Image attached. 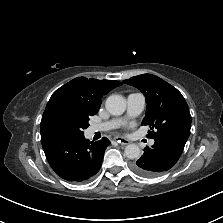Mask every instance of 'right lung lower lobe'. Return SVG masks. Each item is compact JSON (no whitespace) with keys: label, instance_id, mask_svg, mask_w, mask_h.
Segmentation results:
<instances>
[{"label":"right lung lower lobe","instance_id":"1","mask_svg":"<svg viewBox=\"0 0 223 223\" xmlns=\"http://www.w3.org/2000/svg\"><path fill=\"white\" fill-rule=\"evenodd\" d=\"M109 144L105 137L90 142L81 136L54 140L43 146V150L58 176L77 183L87 181L99 171Z\"/></svg>","mask_w":223,"mask_h":223}]
</instances>
